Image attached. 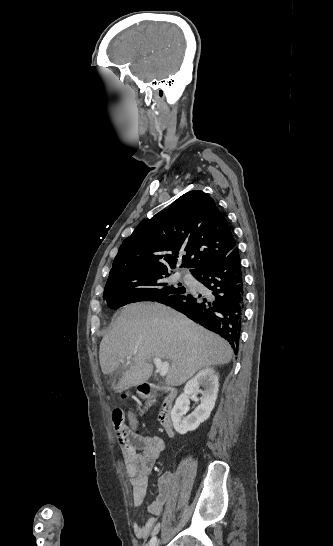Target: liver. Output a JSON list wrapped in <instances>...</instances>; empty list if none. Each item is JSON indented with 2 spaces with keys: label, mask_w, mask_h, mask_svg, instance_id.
<instances>
[{
  "label": "liver",
  "mask_w": 333,
  "mask_h": 546,
  "mask_svg": "<svg viewBox=\"0 0 333 546\" xmlns=\"http://www.w3.org/2000/svg\"><path fill=\"white\" fill-rule=\"evenodd\" d=\"M232 355L230 345L218 335L165 305L149 302L126 306L99 350L105 375L116 371L126 358L133 361L114 386L116 392L146 382L155 357L170 360L166 384L179 386L203 368L229 363Z\"/></svg>",
  "instance_id": "6515ba94"
}]
</instances>
